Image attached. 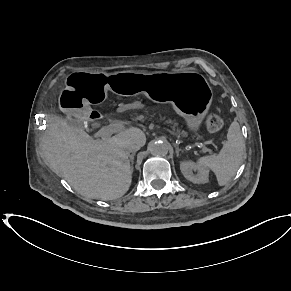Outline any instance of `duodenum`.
I'll return each mask as SVG.
<instances>
[{
    "label": "duodenum",
    "mask_w": 291,
    "mask_h": 291,
    "mask_svg": "<svg viewBox=\"0 0 291 291\" xmlns=\"http://www.w3.org/2000/svg\"><path fill=\"white\" fill-rule=\"evenodd\" d=\"M91 118L97 121L102 119L101 115L98 112H92Z\"/></svg>",
    "instance_id": "duodenum-1"
}]
</instances>
